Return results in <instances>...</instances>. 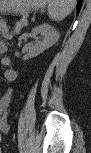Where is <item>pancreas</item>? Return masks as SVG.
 Returning <instances> with one entry per match:
<instances>
[{"mask_svg":"<svg viewBox=\"0 0 91 153\" xmlns=\"http://www.w3.org/2000/svg\"><path fill=\"white\" fill-rule=\"evenodd\" d=\"M27 16H28V13H26L23 18L16 23V28H15V33H19L21 28L24 27L25 25H27Z\"/></svg>","mask_w":91,"mask_h":153,"instance_id":"obj_1","label":"pancreas"}]
</instances>
